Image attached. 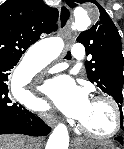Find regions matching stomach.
Segmentation results:
<instances>
[{
  "instance_id": "stomach-1",
  "label": "stomach",
  "mask_w": 124,
  "mask_h": 149,
  "mask_svg": "<svg viewBox=\"0 0 124 149\" xmlns=\"http://www.w3.org/2000/svg\"><path fill=\"white\" fill-rule=\"evenodd\" d=\"M111 146L103 143H94L92 145L87 142H82L79 146V149H113Z\"/></svg>"
}]
</instances>
